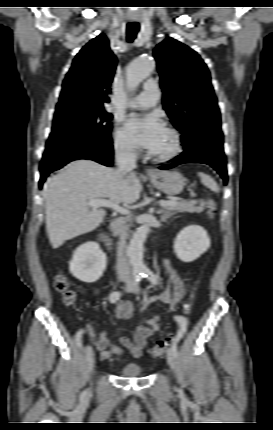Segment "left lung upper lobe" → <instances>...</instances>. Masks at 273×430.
Segmentation results:
<instances>
[{
    "instance_id": "obj_1",
    "label": "left lung upper lobe",
    "mask_w": 273,
    "mask_h": 430,
    "mask_svg": "<svg viewBox=\"0 0 273 430\" xmlns=\"http://www.w3.org/2000/svg\"><path fill=\"white\" fill-rule=\"evenodd\" d=\"M163 89V107L182 135L208 121L221 125L211 77L200 56L173 38L154 49Z\"/></svg>"
}]
</instances>
